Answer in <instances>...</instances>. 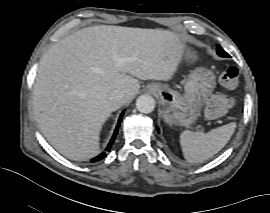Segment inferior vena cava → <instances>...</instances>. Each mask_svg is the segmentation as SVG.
<instances>
[{
  "label": "inferior vena cava",
  "mask_w": 270,
  "mask_h": 213,
  "mask_svg": "<svg viewBox=\"0 0 270 213\" xmlns=\"http://www.w3.org/2000/svg\"><path fill=\"white\" fill-rule=\"evenodd\" d=\"M109 99L111 102L124 104L126 102V95L123 91L117 89V90H113L110 93Z\"/></svg>",
  "instance_id": "inferior-vena-cava-1"
}]
</instances>
